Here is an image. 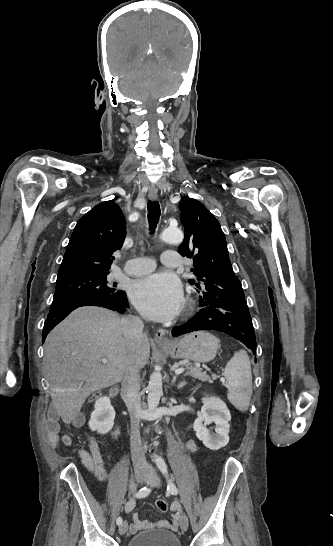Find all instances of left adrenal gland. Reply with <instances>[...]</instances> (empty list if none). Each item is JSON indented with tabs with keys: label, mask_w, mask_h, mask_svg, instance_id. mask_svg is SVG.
Here are the masks:
<instances>
[{
	"label": "left adrenal gland",
	"mask_w": 333,
	"mask_h": 546,
	"mask_svg": "<svg viewBox=\"0 0 333 546\" xmlns=\"http://www.w3.org/2000/svg\"><path fill=\"white\" fill-rule=\"evenodd\" d=\"M175 380H176V376L173 377V380H172L173 383H175ZM185 385H186V382H185V381H184V382H180V383L178 384V387H177V388H178V389H181V388H183Z\"/></svg>",
	"instance_id": "left-adrenal-gland-1"
}]
</instances>
